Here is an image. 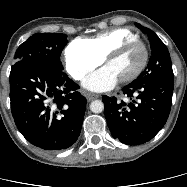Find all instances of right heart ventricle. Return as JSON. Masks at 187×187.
I'll list each match as a JSON object with an SVG mask.
<instances>
[{
	"label": "right heart ventricle",
	"mask_w": 187,
	"mask_h": 187,
	"mask_svg": "<svg viewBox=\"0 0 187 187\" xmlns=\"http://www.w3.org/2000/svg\"><path fill=\"white\" fill-rule=\"evenodd\" d=\"M138 38L139 36L129 29L116 28L98 33L97 35L87 39L86 41L99 56L104 58L110 50H112L119 44L128 40Z\"/></svg>",
	"instance_id": "obj_1"
}]
</instances>
